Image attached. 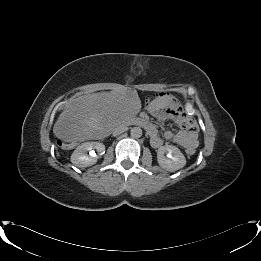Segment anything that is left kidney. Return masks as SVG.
<instances>
[{"instance_id": "obj_1", "label": "left kidney", "mask_w": 261, "mask_h": 261, "mask_svg": "<svg viewBox=\"0 0 261 261\" xmlns=\"http://www.w3.org/2000/svg\"><path fill=\"white\" fill-rule=\"evenodd\" d=\"M157 161L161 168L174 172L186 165L183 153L174 145L162 146L157 151Z\"/></svg>"}]
</instances>
